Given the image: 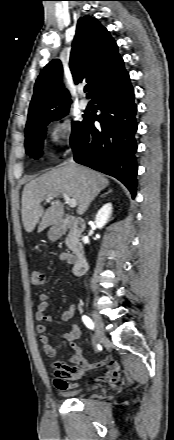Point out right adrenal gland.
Here are the masks:
<instances>
[{"label":"right adrenal gland","instance_id":"right-adrenal-gland-1","mask_svg":"<svg viewBox=\"0 0 174 440\" xmlns=\"http://www.w3.org/2000/svg\"><path fill=\"white\" fill-rule=\"evenodd\" d=\"M112 192V190L111 189H109V191L108 192H106V193H104V194H102L101 196H100V198H103V197H105L107 194H109V193H111Z\"/></svg>","mask_w":174,"mask_h":440}]
</instances>
